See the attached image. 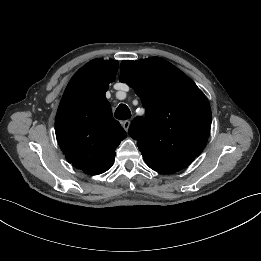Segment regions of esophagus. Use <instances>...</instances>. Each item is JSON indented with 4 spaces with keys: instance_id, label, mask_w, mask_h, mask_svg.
I'll return each mask as SVG.
<instances>
[{
    "instance_id": "esophagus-1",
    "label": "esophagus",
    "mask_w": 261,
    "mask_h": 261,
    "mask_svg": "<svg viewBox=\"0 0 261 261\" xmlns=\"http://www.w3.org/2000/svg\"><path fill=\"white\" fill-rule=\"evenodd\" d=\"M122 127L128 131L129 127H130V121L129 120H125L122 122Z\"/></svg>"
}]
</instances>
